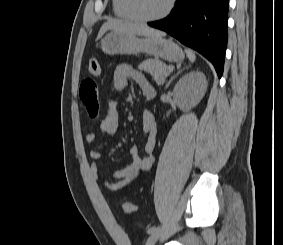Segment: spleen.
<instances>
[{"mask_svg":"<svg viewBox=\"0 0 283 245\" xmlns=\"http://www.w3.org/2000/svg\"><path fill=\"white\" fill-rule=\"evenodd\" d=\"M185 52L187 54L188 59L193 63L196 60V56L193 51L190 49H186Z\"/></svg>","mask_w":283,"mask_h":245,"instance_id":"3e777b00","label":"spleen"}]
</instances>
